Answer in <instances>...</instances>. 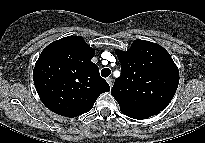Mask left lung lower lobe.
I'll use <instances>...</instances> for the list:
<instances>
[{
    "label": "left lung lower lobe",
    "instance_id": "0a47b994",
    "mask_svg": "<svg viewBox=\"0 0 205 143\" xmlns=\"http://www.w3.org/2000/svg\"><path fill=\"white\" fill-rule=\"evenodd\" d=\"M122 113L127 115L130 118L142 120V119H146L150 116L156 115L159 112H129V113L122 112Z\"/></svg>",
    "mask_w": 205,
    "mask_h": 143
}]
</instances>
